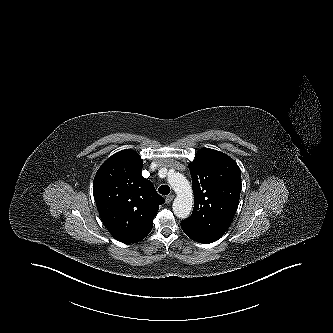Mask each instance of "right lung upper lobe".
<instances>
[{
  "mask_svg": "<svg viewBox=\"0 0 333 333\" xmlns=\"http://www.w3.org/2000/svg\"><path fill=\"white\" fill-rule=\"evenodd\" d=\"M143 160L133 150L108 158L97 171L93 195L100 218L123 243H136L151 231L158 206L165 202L141 175Z\"/></svg>",
  "mask_w": 333,
  "mask_h": 333,
  "instance_id": "cb5924a9",
  "label": "right lung upper lobe"
}]
</instances>
